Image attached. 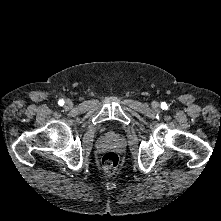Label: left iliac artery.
I'll return each mask as SVG.
<instances>
[{
    "instance_id": "1",
    "label": "left iliac artery",
    "mask_w": 221,
    "mask_h": 221,
    "mask_svg": "<svg viewBox=\"0 0 221 221\" xmlns=\"http://www.w3.org/2000/svg\"><path fill=\"white\" fill-rule=\"evenodd\" d=\"M161 108H162V109H166V108H167V104H166L165 102H162V103H161Z\"/></svg>"
}]
</instances>
